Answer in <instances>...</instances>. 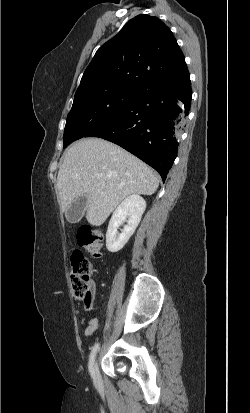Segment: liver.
Masks as SVG:
<instances>
[{"mask_svg": "<svg viewBox=\"0 0 250 413\" xmlns=\"http://www.w3.org/2000/svg\"><path fill=\"white\" fill-rule=\"evenodd\" d=\"M158 175L120 146L101 138L75 142L65 153L57 188L64 212L75 198L87 197V221L102 225L118 204L132 194L152 195Z\"/></svg>", "mask_w": 250, "mask_h": 413, "instance_id": "obj_1", "label": "liver"}]
</instances>
